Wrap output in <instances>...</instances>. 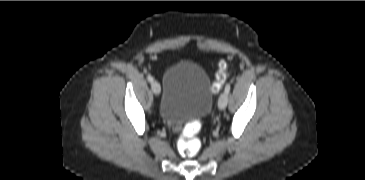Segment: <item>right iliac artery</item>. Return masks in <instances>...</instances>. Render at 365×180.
I'll list each match as a JSON object with an SVG mask.
<instances>
[{
  "label": "right iliac artery",
  "mask_w": 365,
  "mask_h": 180,
  "mask_svg": "<svg viewBox=\"0 0 365 180\" xmlns=\"http://www.w3.org/2000/svg\"><path fill=\"white\" fill-rule=\"evenodd\" d=\"M147 79H148V81L150 82V83H152L153 82V77L151 76V75H149L148 77H147Z\"/></svg>",
  "instance_id": "1"
}]
</instances>
